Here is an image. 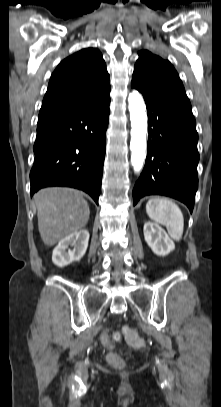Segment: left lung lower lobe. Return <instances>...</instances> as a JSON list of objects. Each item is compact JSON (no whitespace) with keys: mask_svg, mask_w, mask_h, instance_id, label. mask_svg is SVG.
<instances>
[{"mask_svg":"<svg viewBox=\"0 0 221 407\" xmlns=\"http://www.w3.org/2000/svg\"><path fill=\"white\" fill-rule=\"evenodd\" d=\"M143 97L149 136L145 166L133 190L134 205L144 196L164 195L183 202L192 212L199 154L190 101L183 93Z\"/></svg>","mask_w":221,"mask_h":407,"instance_id":"0a47b994","label":"left lung lower lobe"}]
</instances>
